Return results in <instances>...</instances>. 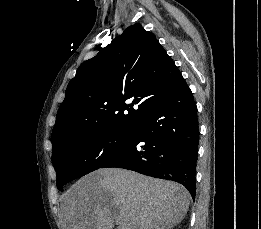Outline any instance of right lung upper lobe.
Here are the masks:
<instances>
[{
  "instance_id": "1",
  "label": "right lung upper lobe",
  "mask_w": 261,
  "mask_h": 229,
  "mask_svg": "<svg viewBox=\"0 0 261 229\" xmlns=\"http://www.w3.org/2000/svg\"><path fill=\"white\" fill-rule=\"evenodd\" d=\"M181 80L155 35L140 24L128 27L77 69L57 112L52 150L84 130L134 132Z\"/></svg>"
}]
</instances>
